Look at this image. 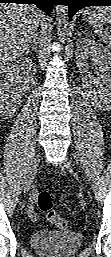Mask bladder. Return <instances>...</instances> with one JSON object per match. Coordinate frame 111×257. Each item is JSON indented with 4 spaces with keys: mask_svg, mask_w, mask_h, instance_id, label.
I'll return each instance as SVG.
<instances>
[{
    "mask_svg": "<svg viewBox=\"0 0 111 257\" xmlns=\"http://www.w3.org/2000/svg\"><path fill=\"white\" fill-rule=\"evenodd\" d=\"M83 235L72 231H38L31 237L32 248L42 257H70L83 245Z\"/></svg>",
    "mask_w": 111,
    "mask_h": 257,
    "instance_id": "bladder-1",
    "label": "bladder"
}]
</instances>
